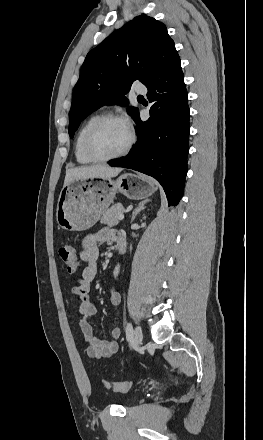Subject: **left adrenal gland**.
Segmentation results:
<instances>
[{
    "mask_svg": "<svg viewBox=\"0 0 263 440\" xmlns=\"http://www.w3.org/2000/svg\"><path fill=\"white\" fill-rule=\"evenodd\" d=\"M148 202H150V200H149V199H145V200L141 201V202L138 204V206H137V207L134 209V211H133L132 218H131V222H133V221L135 220L136 216H137L142 210L145 209V207H146L145 205H146Z\"/></svg>",
    "mask_w": 263,
    "mask_h": 440,
    "instance_id": "obj_1",
    "label": "left adrenal gland"
}]
</instances>
